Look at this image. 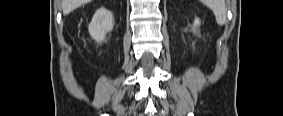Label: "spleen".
I'll return each instance as SVG.
<instances>
[{"mask_svg":"<svg viewBox=\"0 0 283 116\" xmlns=\"http://www.w3.org/2000/svg\"><path fill=\"white\" fill-rule=\"evenodd\" d=\"M203 3L212 10L219 26H222L226 23L227 8L224 0H205Z\"/></svg>","mask_w":283,"mask_h":116,"instance_id":"spleen-1","label":"spleen"}]
</instances>
